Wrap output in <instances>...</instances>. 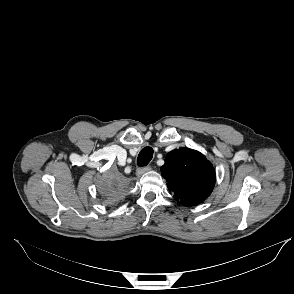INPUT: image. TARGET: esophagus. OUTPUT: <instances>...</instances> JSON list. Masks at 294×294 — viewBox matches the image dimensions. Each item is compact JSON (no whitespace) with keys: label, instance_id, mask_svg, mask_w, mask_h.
Returning <instances> with one entry per match:
<instances>
[{"label":"esophagus","instance_id":"obj_1","mask_svg":"<svg viewBox=\"0 0 294 294\" xmlns=\"http://www.w3.org/2000/svg\"><path fill=\"white\" fill-rule=\"evenodd\" d=\"M151 170V166L140 167L136 170V176L140 177L142 174Z\"/></svg>","mask_w":294,"mask_h":294}]
</instances>
